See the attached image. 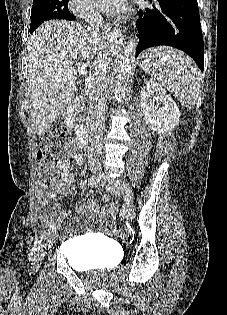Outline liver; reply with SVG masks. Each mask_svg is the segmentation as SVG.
<instances>
[{
  "mask_svg": "<svg viewBox=\"0 0 227 315\" xmlns=\"http://www.w3.org/2000/svg\"><path fill=\"white\" fill-rule=\"evenodd\" d=\"M27 49L28 92L35 129L42 135L74 100V64L77 69L85 64L95 77L100 65L109 67L110 48L100 36L75 22L52 20L34 31Z\"/></svg>",
  "mask_w": 227,
  "mask_h": 315,
  "instance_id": "liver-1",
  "label": "liver"
}]
</instances>
